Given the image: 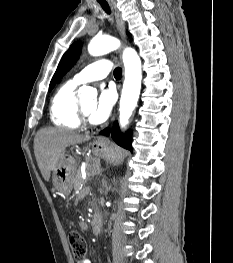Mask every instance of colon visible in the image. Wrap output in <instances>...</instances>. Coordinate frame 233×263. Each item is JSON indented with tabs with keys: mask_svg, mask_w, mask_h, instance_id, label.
Wrapping results in <instances>:
<instances>
[{
	"mask_svg": "<svg viewBox=\"0 0 233 263\" xmlns=\"http://www.w3.org/2000/svg\"><path fill=\"white\" fill-rule=\"evenodd\" d=\"M68 241L72 249L74 259L80 263L83 259H85L87 252V244L84 237L76 231H71L68 234Z\"/></svg>",
	"mask_w": 233,
	"mask_h": 263,
	"instance_id": "obj_1",
	"label": "colon"
}]
</instances>
